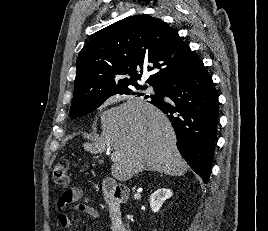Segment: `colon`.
Here are the masks:
<instances>
[{
	"instance_id": "5ec220e1",
	"label": "colon",
	"mask_w": 268,
	"mask_h": 231,
	"mask_svg": "<svg viewBox=\"0 0 268 231\" xmlns=\"http://www.w3.org/2000/svg\"><path fill=\"white\" fill-rule=\"evenodd\" d=\"M69 160L63 159L54 165L52 183L56 187H65L69 183Z\"/></svg>"
}]
</instances>
